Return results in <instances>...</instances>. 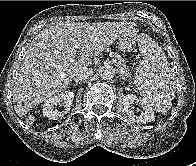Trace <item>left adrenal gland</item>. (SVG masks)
Returning <instances> with one entry per match:
<instances>
[{
    "instance_id": "left-adrenal-gland-1",
    "label": "left adrenal gland",
    "mask_w": 196,
    "mask_h": 166,
    "mask_svg": "<svg viewBox=\"0 0 196 166\" xmlns=\"http://www.w3.org/2000/svg\"><path fill=\"white\" fill-rule=\"evenodd\" d=\"M121 78L125 80V77L121 76Z\"/></svg>"
}]
</instances>
